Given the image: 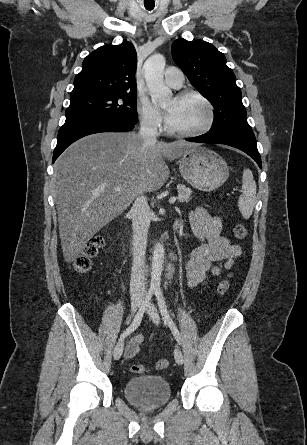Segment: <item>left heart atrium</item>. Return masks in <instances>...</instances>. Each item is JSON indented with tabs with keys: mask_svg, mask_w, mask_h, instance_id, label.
<instances>
[{
	"mask_svg": "<svg viewBox=\"0 0 307 445\" xmlns=\"http://www.w3.org/2000/svg\"><path fill=\"white\" fill-rule=\"evenodd\" d=\"M171 115H172V112L170 110H167L166 116H167L168 120L170 119Z\"/></svg>",
	"mask_w": 307,
	"mask_h": 445,
	"instance_id": "obj_1",
	"label": "left heart atrium"
}]
</instances>
